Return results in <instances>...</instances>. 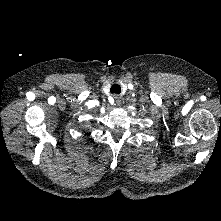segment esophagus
<instances>
[{
	"label": "esophagus",
	"instance_id": "34e87169",
	"mask_svg": "<svg viewBox=\"0 0 221 221\" xmlns=\"http://www.w3.org/2000/svg\"><path fill=\"white\" fill-rule=\"evenodd\" d=\"M113 98H114V100H115V102L117 103V104H120V96L119 95H113Z\"/></svg>",
	"mask_w": 221,
	"mask_h": 221
}]
</instances>
